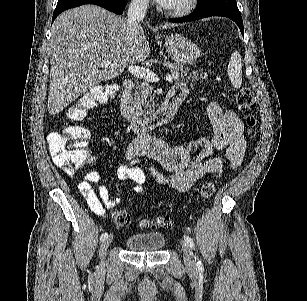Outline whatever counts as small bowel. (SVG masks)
<instances>
[{"label":"small bowel","mask_w":307,"mask_h":301,"mask_svg":"<svg viewBox=\"0 0 307 301\" xmlns=\"http://www.w3.org/2000/svg\"><path fill=\"white\" fill-rule=\"evenodd\" d=\"M173 90L183 94L184 97L187 93L184 84L176 85ZM208 115L213 130L211 138H201L184 147H170L162 140H146L145 137H140L129 146L127 157L129 159L140 155L151 157L169 174L164 176L161 172L154 170V177L179 192H185L195 181L207 174L220 172L222 160L213 157L215 152L225 150L231 167L240 166L246 149L243 122L236 112L231 109L222 110L215 103L209 106ZM63 168L67 173L72 174V171ZM117 176L121 181H133L136 193L142 192L147 181L144 172L132 163L121 165L117 170ZM100 178L98 171H90L78 186L89 208L98 216L104 214L105 208L114 207L119 202V199L110 198L105 185L95 188L94 185L100 181Z\"/></svg>","instance_id":"obj_1"}]
</instances>
